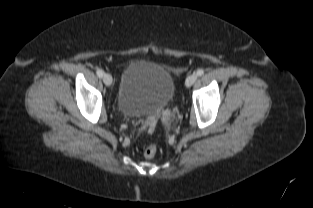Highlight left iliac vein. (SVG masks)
<instances>
[{"mask_svg": "<svg viewBox=\"0 0 313 208\" xmlns=\"http://www.w3.org/2000/svg\"><path fill=\"white\" fill-rule=\"evenodd\" d=\"M198 78V75L196 73H193V74H190L187 78H186V81H185V85L187 87H190L192 86L196 80Z\"/></svg>", "mask_w": 313, "mask_h": 208, "instance_id": "4c4485c4", "label": "left iliac vein"}]
</instances>
